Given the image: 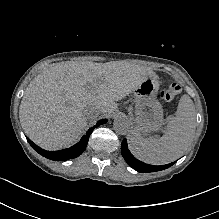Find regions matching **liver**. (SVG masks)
Instances as JSON below:
<instances>
[{
  "label": "liver",
  "mask_w": 219,
  "mask_h": 219,
  "mask_svg": "<svg viewBox=\"0 0 219 219\" xmlns=\"http://www.w3.org/2000/svg\"><path fill=\"white\" fill-rule=\"evenodd\" d=\"M149 74L144 67L120 62H65L46 68L24 92L19 107L21 126L43 149L69 147L80 138L87 120L115 111L116 101Z\"/></svg>",
  "instance_id": "1"
}]
</instances>
